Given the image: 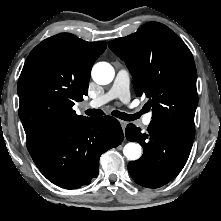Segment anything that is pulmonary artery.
Instances as JSON below:
<instances>
[{
    "label": "pulmonary artery",
    "instance_id": "e3ab8cb5",
    "mask_svg": "<svg viewBox=\"0 0 221 221\" xmlns=\"http://www.w3.org/2000/svg\"><path fill=\"white\" fill-rule=\"evenodd\" d=\"M129 74L126 70H120L114 80L111 88L102 96H99L89 102V106L92 108H97L103 104L113 100L119 99L123 103H127L130 100L129 93ZM152 121V114H147L143 117V124L148 126Z\"/></svg>",
    "mask_w": 221,
    "mask_h": 221
}]
</instances>
